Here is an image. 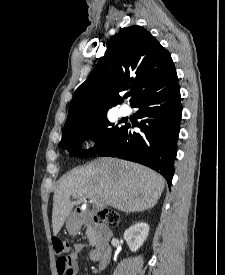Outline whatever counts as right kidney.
Instances as JSON below:
<instances>
[{
  "label": "right kidney",
  "instance_id": "1",
  "mask_svg": "<svg viewBox=\"0 0 225 275\" xmlns=\"http://www.w3.org/2000/svg\"><path fill=\"white\" fill-rule=\"evenodd\" d=\"M148 232L149 226L145 222H139L124 232V239L132 252H136L143 245Z\"/></svg>",
  "mask_w": 225,
  "mask_h": 275
}]
</instances>
